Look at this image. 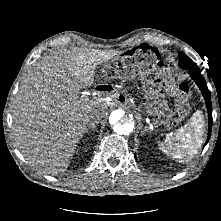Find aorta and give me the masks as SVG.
<instances>
[{"instance_id":"1","label":"aorta","mask_w":221,"mask_h":221,"mask_svg":"<svg viewBox=\"0 0 221 221\" xmlns=\"http://www.w3.org/2000/svg\"><path fill=\"white\" fill-rule=\"evenodd\" d=\"M109 122L112 130L122 136L131 134L136 128L134 116L124 110L114 111L109 118Z\"/></svg>"}]
</instances>
